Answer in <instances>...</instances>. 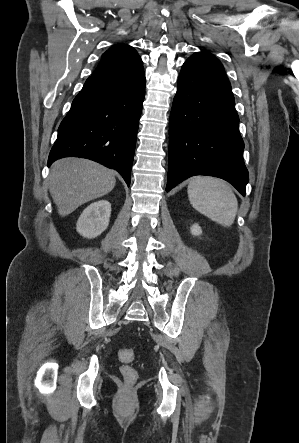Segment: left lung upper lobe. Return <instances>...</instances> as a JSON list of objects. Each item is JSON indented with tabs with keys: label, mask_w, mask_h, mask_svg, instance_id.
<instances>
[{
	"label": "left lung upper lobe",
	"mask_w": 299,
	"mask_h": 443,
	"mask_svg": "<svg viewBox=\"0 0 299 443\" xmlns=\"http://www.w3.org/2000/svg\"><path fill=\"white\" fill-rule=\"evenodd\" d=\"M184 64L215 74L217 76L227 78L221 62L206 51L193 54Z\"/></svg>",
	"instance_id": "left-lung-upper-lobe-1"
}]
</instances>
